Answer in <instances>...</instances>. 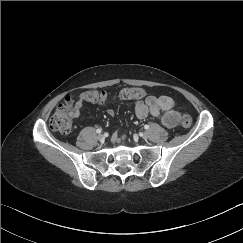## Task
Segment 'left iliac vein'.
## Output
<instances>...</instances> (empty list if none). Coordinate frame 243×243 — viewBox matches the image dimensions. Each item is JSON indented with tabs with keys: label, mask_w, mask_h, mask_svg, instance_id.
Returning a JSON list of instances; mask_svg holds the SVG:
<instances>
[{
	"label": "left iliac vein",
	"mask_w": 243,
	"mask_h": 243,
	"mask_svg": "<svg viewBox=\"0 0 243 243\" xmlns=\"http://www.w3.org/2000/svg\"><path fill=\"white\" fill-rule=\"evenodd\" d=\"M141 137L144 138V139H147L148 138V134L146 132H143L141 134Z\"/></svg>",
	"instance_id": "4c4485c4"
}]
</instances>
